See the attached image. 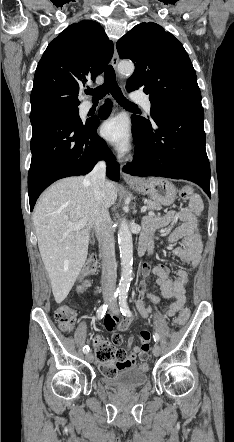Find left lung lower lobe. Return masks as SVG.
Returning a JSON list of instances; mask_svg holds the SVG:
<instances>
[{"mask_svg":"<svg viewBox=\"0 0 234 442\" xmlns=\"http://www.w3.org/2000/svg\"><path fill=\"white\" fill-rule=\"evenodd\" d=\"M130 92V91H129ZM134 160L125 166L131 175L185 179L210 196V165L206 154L201 104H176L153 116L154 124L139 125L132 117Z\"/></svg>","mask_w":234,"mask_h":442,"instance_id":"0a47b994","label":"left lung lower lobe"}]
</instances>
